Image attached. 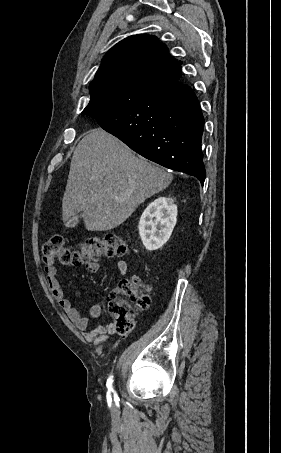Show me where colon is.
<instances>
[{"label": "colon", "instance_id": "colon-1", "mask_svg": "<svg viewBox=\"0 0 281 453\" xmlns=\"http://www.w3.org/2000/svg\"><path fill=\"white\" fill-rule=\"evenodd\" d=\"M132 254L128 244L113 238H85L79 247L71 250L65 237L55 233L46 242L42 258L45 262H97L102 257H129ZM118 286L124 302L114 306L113 313L118 329L129 331L133 327V315L144 312L150 303L149 286L137 278L120 279Z\"/></svg>", "mask_w": 281, "mask_h": 453}]
</instances>
